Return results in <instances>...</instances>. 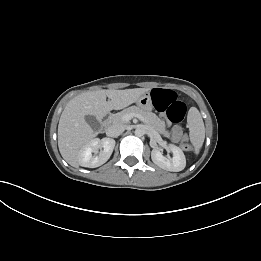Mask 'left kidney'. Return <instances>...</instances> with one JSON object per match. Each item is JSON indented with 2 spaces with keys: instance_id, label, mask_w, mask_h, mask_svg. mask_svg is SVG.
<instances>
[{
  "instance_id": "left-kidney-1",
  "label": "left kidney",
  "mask_w": 261,
  "mask_h": 261,
  "mask_svg": "<svg viewBox=\"0 0 261 261\" xmlns=\"http://www.w3.org/2000/svg\"><path fill=\"white\" fill-rule=\"evenodd\" d=\"M169 149L173 153V157L163 156L160 149H153L151 159L160 168L172 172L182 171L186 166V158L183 151L176 145L170 144Z\"/></svg>"
}]
</instances>
